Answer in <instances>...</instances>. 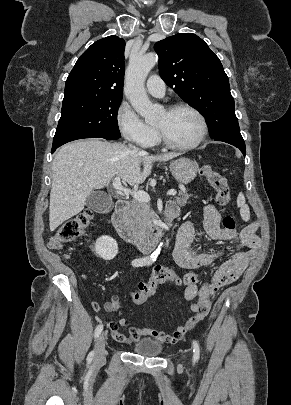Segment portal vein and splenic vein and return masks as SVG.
<instances>
[{"instance_id": "18ae733b", "label": "portal vein and splenic vein", "mask_w": 291, "mask_h": 405, "mask_svg": "<svg viewBox=\"0 0 291 405\" xmlns=\"http://www.w3.org/2000/svg\"><path fill=\"white\" fill-rule=\"evenodd\" d=\"M113 187L115 190L119 191V192H124L126 195H131L134 199L141 201V202H150V196L148 193L138 190V191H132L128 188H125L122 186L120 178L119 177H115L113 180ZM176 190L171 189L167 192V195L169 196H174L176 195Z\"/></svg>"}]
</instances>
